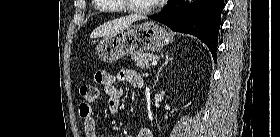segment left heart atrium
Listing matches in <instances>:
<instances>
[{"label": "left heart atrium", "mask_w": 280, "mask_h": 137, "mask_svg": "<svg viewBox=\"0 0 280 137\" xmlns=\"http://www.w3.org/2000/svg\"><path fill=\"white\" fill-rule=\"evenodd\" d=\"M167 0H157L159 3H165Z\"/></svg>", "instance_id": "1"}]
</instances>
